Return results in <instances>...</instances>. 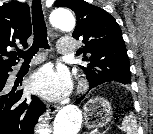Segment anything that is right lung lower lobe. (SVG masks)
Listing matches in <instances>:
<instances>
[{"label": "right lung lower lobe", "instance_id": "1", "mask_svg": "<svg viewBox=\"0 0 153 134\" xmlns=\"http://www.w3.org/2000/svg\"><path fill=\"white\" fill-rule=\"evenodd\" d=\"M10 71L11 67L0 71V134H33L44 104L34 95L25 98L22 91L5 94Z\"/></svg>", "mask_w": 153, "mask_h": 134}]
</instances>
